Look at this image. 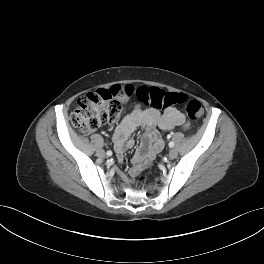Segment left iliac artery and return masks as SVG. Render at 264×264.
<instances>
[{
	"label": "left iliac artery",
	"instance_id": "left-iliac-artery-1",
	"mask_svg": "<svg viewBox=\"0 0 264 264\" xmlns=\"http://www.w3.org/2000/svg\"><path fill=\"white\" fill-rule=\"evenodd\" d=\"M170 137H171V135H168V138H170ZM169 147H174V142L171 141V142L169 143Z\"/></svg>",
	"mask_w": 264,
	"mask_h": 264
}]
</instances>
